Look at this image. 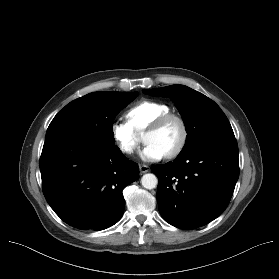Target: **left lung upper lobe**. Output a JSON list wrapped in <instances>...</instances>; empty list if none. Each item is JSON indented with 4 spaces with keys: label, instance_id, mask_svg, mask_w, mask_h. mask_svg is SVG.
<instances>
[{
    "label": "left lung upper lobe",
    "instance_id": "obj_1",
    "mask_svg": "<svg viewBox=\"0 0 279 279\" xmlns=\"http://www.w3.org/2000/svg\"><path fill=\"white\" fill-rule=\"evenodd\" d=\"M151 96L170 97L184 120L187 138L181 153L198 143L216 138H235L221 108L210 98L184 85L143 90Z\"/></svg>",
    "mask_w": 279,
    "mask_h": 279
}]
</instances>
